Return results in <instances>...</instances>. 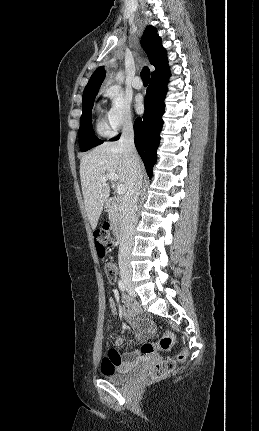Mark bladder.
<instances>
[{
	"instance_id": "1",
	"label": "bladder",
	"mask_w": 259,
	"mask_h": 431,
	"mask_svg": "<svg viewBox=\"0 0 259 431\" xmlns=\"http://www.w3.org/2000/svg\"><path fill=\"white\" fill-rule=\"evenodd\" d=\"M138 370V364H124L113 371L105 372L103 377L105 380L113 384H122L132 377Z\"/></svg>"
}]
</instances>
